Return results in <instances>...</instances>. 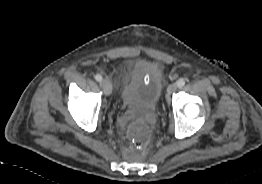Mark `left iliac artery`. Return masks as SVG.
Returning a JSON list of instances; mask_svg holds the SVG:
<instances>
[{
  "mask_svg": "<svg viewBox=\"0 0 262 184\" xmlns=\"http://www.w3.org/2000/svg\"><path fill=\"white\" fill-rule=\"evenodd\" d=\"M185 83H186L185 80L181 78V79H179L177 81V86L178 87H183L185 85Z\"/></svg>",
  "mask_w": 262,
  "mask_h": 184,
  "instance_id": "obj_1",
  "label": "left iliac artery"
}]
</instances>
